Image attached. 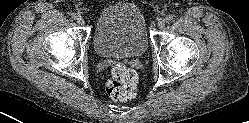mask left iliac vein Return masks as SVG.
Instances as JSON below:
<instances>
[{
  "mask_svg": "<svg viewBox=\"0 0 249 123\" xmlns=\"http://www.w3.org/2000/svg\"><path fill=\"white\" fill-rule=\"evenodd\" d=\"M165 26V20L164 19H159L158 20V27L159 28H164Z\"/></svg>",
  "mask_w": 249,
  "mask_h": 123,
  "instance_id": "obj_1",
  "label": "left iliac vein"
}]
</instances>
